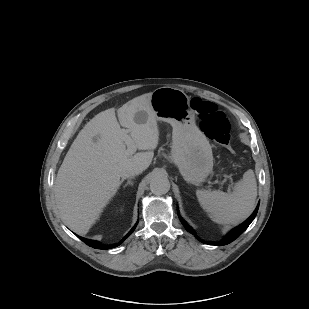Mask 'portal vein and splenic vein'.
Returning a JSON list of instances; mask_svg holds the SVG:
<instances>
[{
  "label": "portal vein and splenic vein",
  "mask_w": 309,
  "mask_h": 309,
  "mask_svg": "<svg viewBox=\"0 0 309 309\" xmlns=\"http://www.w3.org/2000/svg\"><path fill=\"white\" fill-rule=\"evenodd\" d=\"M127 144L131 147V149L129 150V154H133L134 153V150H133V148H132V141H131V139H127ZM225 178H229L227 175H225Z\"/></svg>",
  "instance_id": "1"
}]
</instances>
